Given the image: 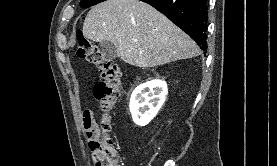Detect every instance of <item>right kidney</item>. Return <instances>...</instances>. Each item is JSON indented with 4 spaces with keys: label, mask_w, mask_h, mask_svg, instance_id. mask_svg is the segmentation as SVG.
<instances>
[{
    "label": "right kidney",
    "mask_w": 277,
    "mask_h": 166,
    "mask_svg": "<svg viewBox=\"0 0 277 166\" xmlns=\"http://www.w3.org/2000/svg\"><path fill=\"white\" fill-rule=\"evenodd\" d=\"M168 93L167 84L152 80L139 85L130 98V112L135 124L147 125L158 113Z\"/></svg>",
    "instance_id": "ca27d5eb"
}]
</instances>
